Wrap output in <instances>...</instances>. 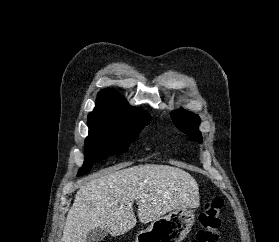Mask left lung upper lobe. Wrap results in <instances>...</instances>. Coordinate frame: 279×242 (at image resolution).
<instances>
[{
  "label": "left lung upper lobe",
  "mask_w": 279,
  "mask_h": 242,
  "mask_svg": "<svg viewBox=\"0 0 279 242\" xmlns=\"http://www.w3.org/2000/svg\"><path fill=\"white\" fill-rule=\"evenodd\" d=\"M172 119L178 129L185 132L193 139L202 142V137L198 130L200 118L197 115L189 113L183 109H179L172 112Z\"/></svg>",
  "instance_id": "5c2ea615"
}]
</instances>
